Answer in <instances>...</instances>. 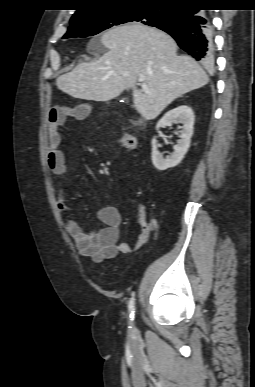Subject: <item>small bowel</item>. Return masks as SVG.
I'll return each mask as SVG.
<instances>
[{
    "instance_id": "1",
    "label": "small bowel",
    "mask_w": 255,
    "mask_h": 387,
    "mask_svg": "<svg viewBox=\"0 0 255 387\" xmlns=\"http://www.w3.org/2000/svg\"><path fill=\"white\" fill-rule=\"evenodd\" d=\"M65 114L60 109H54L49 119V144L48 166L56 174L65 172L63 153L60 151L61 136L58 127L63 124ZM73 184H66L59 188L56 195V205L62 214L67 232L73 239L78 252L82 256L90 257L95 262L111 259L119 254H129L145 245L148 235L141 232L133 247L124 242H119L120 226L122 223L121 212L113 206H105L98 210L97 216L105 225L96 231H85L68 214V201L71 196Z\"/></svg>"
}]
</instances>
